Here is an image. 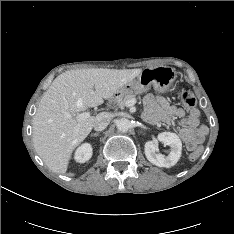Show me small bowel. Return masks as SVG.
<instances>
[{"mask_svg": "<svg viewBox=\"0 0 234 234\" xmlns=\"http://www.w3.org/2000/svg\"><path fill=\"white\" fill-rule=\"evenodd\" d=\"M143 118L150 124L177 122L178 131L189 148L203 142L208 128L200 124L199 111L192 109L186 113L183 109L170 105L164 98L149 95L144 99Z\"/></svg>", "mask_w": 234, "mask_h": 234, "instance_id": "obj_1", "label": "small bowel"}]
</instances>
